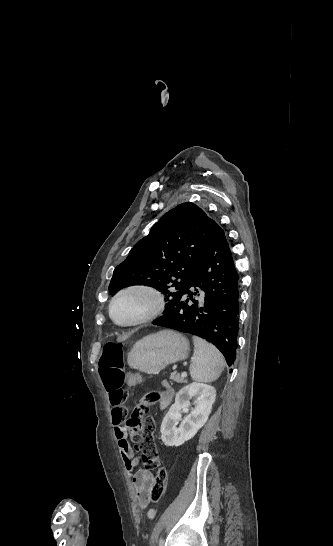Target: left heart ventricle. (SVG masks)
Segmentation results:
<instances>
[{
	"label": "left heart ventricle",
	"mask_w": 333,
	"mask_h": 546,
	"mask_svg": "<svg viewBox=\"0 0 333 546\" xmlns=\"http://www.w3.org/2000/svg\"><path fill=\"white\" fill-rule=\"evenodd\" d=\"M148 299L142 294H128L121 298L113 308L116 320L126 322L142 313L148 306Z\"/></svg>",
	"instance_id": "left-heart-ventricle-1"
}]
</instances>
